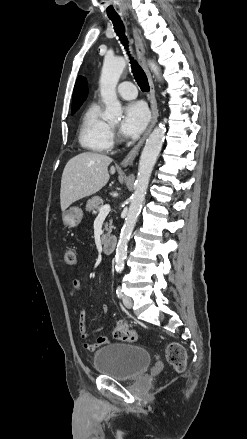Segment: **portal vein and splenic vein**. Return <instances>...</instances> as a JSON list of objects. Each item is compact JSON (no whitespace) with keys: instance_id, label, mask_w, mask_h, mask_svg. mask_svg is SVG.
Wrapping results in <instances>:
<instances>
[{"instance_id":"18ae733b","label":"portal vein and splenic vein","mask_w":247,"mask_h":439,"mask_svg":"<svg viewBox=\"0 0 247 439\" xmlns=\"http://www.w3.org/2000/svg\"><path fill=\"white\" fill-rule=\"evenodd\" d=\"M111 208L109 204L102 205L99 209L98 217L100 216H106L110 212Z\"/></svg>"}]
</instances>
